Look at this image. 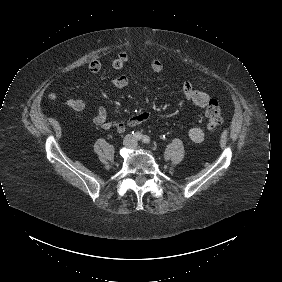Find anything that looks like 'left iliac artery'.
Listing matches in <instances>:
<instances>
[{"label": "left iliac artery", "instance_id": "obj_1", "mask_svg": "<svg viewBox=\"0 0 282 282\" xmlns=\"http://www.w3.org/2000/svg\"><path fill=\"white\" fill-rule=\"evenodd\" d=\"M149 141H150V138H149L147 135H144V136L142 137V142H143V143H149Z\"/></svg>", "mask_w": 282, "mask_h": 282}]
</instances>
